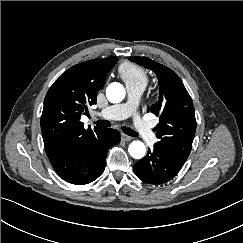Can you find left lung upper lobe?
Listing matches in <instances>:
<instances>
[{"label":"left lung upper lobe","mask_w":243,"mask_h":243,"mask_svg":"<svg viewBox=\"0 0 243 243\" xmlns=\"http://www.w3.org/2000/svg\"><path fill=\"white\" fill-rule=\"evenodd\" d=\"M129 59L154 71L159 80V98L151 106V112L160 118L154 128L159 139L155 145L187 160L196 131V119L192 99L181 79L168 67L147 57Z\"/></svg>","instance_id":"5c2ea615"}]
</instances>
